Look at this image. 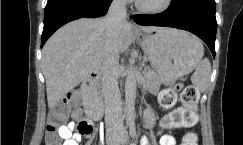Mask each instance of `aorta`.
Returning <instances> with one entry per match:
<instances>
[{"label": "aorta", "mask_w": 243, "mask_h": 145, "mask_svg": "<svg viewBox=\"0 0 243 145\" xmlns=\"http://www.w3.org/2000/svg\"><path fill=\"white\" fill-rule=\"evenodd\" d=\"M136 75L134 68H128L126 72L125 80V106L127 111V119L133 120V114L135 110V98H136Z\"/></svg>", "instance_id": "762f6f07"}]
</instances>
